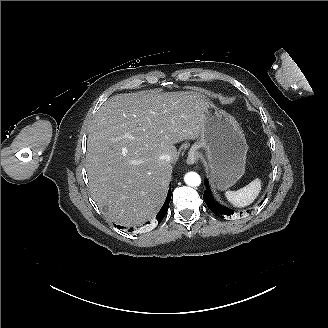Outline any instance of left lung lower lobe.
Wrapping results in <instances>:
<instances>
[{
  "instance_id": "obj_1",
  "label": "left lung lower lobe",
  "mask_w": 328,
  "mask_h": 328,
  "mask_svg": "<svg viewBox=\"0 0 328 328\" xmlns=\"http://www.w3.org/2000/svg\"><path fill=\"white\" fill-rule=\"evenodd\" d=\"M207 182V181H206ZM203 199L208 206V208L215 213L217 216L224 218L226 216H230L234 214V211L220 205L219 203L215 202L211 197L209 187L207 186L206 191L204 192ZM249 212V210L247 211Z\"/></svg>"
}]
</instances>
